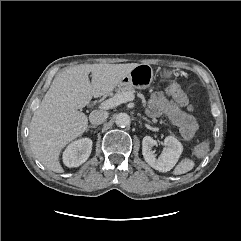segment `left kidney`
<instances>
[{"instance_id": "obj_1", "label": "left kidney", "mask_w": 241, "mask_h": 241, "mask_svg": "<svg viewBox=\"0 0 241 241\" xmlns=\"http://www.w3.org/2000/svg\"><path fill=\"white\" fill-rule=\"evenodd\" d=\"M157 144V141L152 137L145 136L142 140L143 157L152 168L160 172L170 171L177 163L183 151V146L175 137L167 136L163 143L165 149L161 157L156 158L152 148Z\"/></svg>"}]
</instances>
